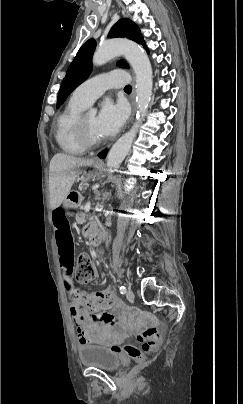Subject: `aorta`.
<instances>
[{"mask_svg": "<svg viewBox=\"0 0 243 404\" xmlns=\"http://www.w3.org/2000/svg\"><path fill=\"white\" fill-rule=\"evenodd\" d=\"M116 56H125L131 68L134 70L136 78L135 100L137 104V114L136 122L133 124L132 128H130L129 132L121 136L116 144L112 146L107 156L108 168H119L127 154H129L140 124H142L146 116L153 86L150 60L143 48L135 44V42H131V40H122V38L106 40V42H103L101 46L96 48L93 56V64L94 66H103V64H107L109 60L116 58ZM87 114L90 118H95L97 110L91 108Z\"/></svg>", "mask_w": 243, "mask_h": 404, "instance_id": "obj_1", "label": "aorta"}]
</instances>
